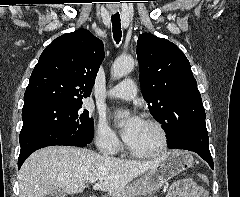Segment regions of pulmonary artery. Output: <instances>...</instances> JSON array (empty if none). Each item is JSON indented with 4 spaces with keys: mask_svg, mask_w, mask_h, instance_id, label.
<instances>
[{
    "mask_svg": "<svg viewBox=\"0 0 240 197\" xmlns=\"http://www.w3.org/2000/svg\"><path fill=\"white\" fill-rule=\"evenodd\" d=\"M137 95V86L132 79H125L111 88L106 96L111 99H132Z\"/></svg>",
    "mask_w": 240,
    "mask_h": 197,
    "instance_id": "obj_1",
    "label": "pulmonary artery"
}]
</instances>
